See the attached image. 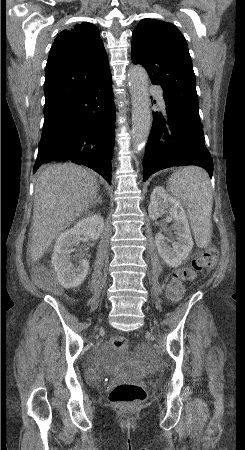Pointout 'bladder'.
I'll use <instances>...</instances> for the list:
<instances>
[{"instance_id":"bladder-1","label":"bladder","mask_w":245,"mask_h":450,"mask_svg":"<svg viewBox=\"0 0 245 450\" xmlns=\"http://www.w3.org/2000/svg\"><path fill=\"white\" fill-rule=\"evenodd\" d=\"M99 371H100V368H98V367H95V368L91 367V368L86 369V373L91 381L100 380ZM113 373H114V376L112 377V379L117 378L120 375H124V376H135L136 375L135 368L130 365L115 366L113 368Z\"/></svg>"}]
</instances>
